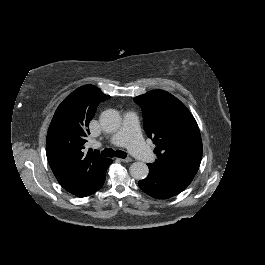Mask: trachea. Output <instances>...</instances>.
I'll list each match as a JSON object with an SVG mask.
<instances>
[{
    "label": "trachea",
    "mask_w": 265,
    "mask_h": 265,
    "mask_svg": "<svg viewBox=\"0 0 265 265\" xmlns=\"http://www.w3.org/2000/svg\"><path fill=\"white\" fill-rule=\"evenodd\" d=\"M102 154H103V156H106V157H114L115 156V157L124 158V159L127 158V153L120 151V150L114 151L111 148L104 149Z\"/></svg>",
    "instance_id": "1"
}]
</instances>
